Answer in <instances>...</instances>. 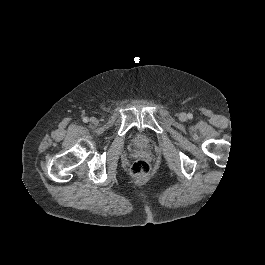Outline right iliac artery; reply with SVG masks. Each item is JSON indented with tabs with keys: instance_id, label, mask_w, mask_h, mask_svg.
I'll return each instance as SVG.
<instances>
[{
	"instance_id": "obj_1",
	"label": "right iliac artery",
	"mask_w": 265,
	"mask_h": 265,
	"mask_svg": "<svg viewBox=\"0 0 265 265\" xmlns=\"http://www.w3.org/2000/svg\"><path fill=\"white\" fill-rule=\"evenodd\" d=\"M88 121H89V119H88L87 117H84V118H83V122H84V123H87Z\"/></svg>"
}]
</instances>
